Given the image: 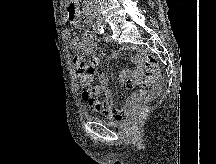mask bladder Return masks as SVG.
I'll list each match as a JSON object with an SVG mask.
<instances>
[{
	"mask_svg": "<svg viewBox=\"0 0 216 164\" xmlns=\"http://www.w3.org/2000/svg\"><path fill=\"white\" fill-rule=\"evenodd\" d=\"M95 121L101 123V124H104V125H107V126H121L123 124H125V120H122V121H109V120H106V119H102V118H98V117H94L93 118Z\"/></svg>",
	"mask_w": 216,
	"mask_h": 164,
	"instance_id": "1",
	"label": "bladder"
}]
</instances>
